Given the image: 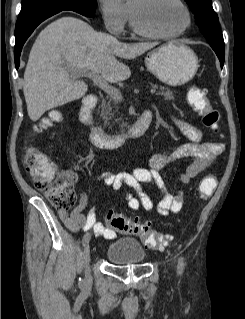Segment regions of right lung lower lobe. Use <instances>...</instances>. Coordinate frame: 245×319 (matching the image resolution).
Wrapping results in <instances>:
<instances>
[{
    "label": "right lung lower lobe",
    "mask_w": 245,
    "mask_h": 319,
    "mask_svg": "<svg viewBox=\"0 0 245 319\" xmlns=\"http://www.w3.org/2000/svg\"><path fill=\"white\" fill-rule=\"evenodd\" d=\"M63 10H69V9L46 11V12L33 15L23 20H17L16 27H15L16 41H15V47H14V57H15L16 68L19 67L20 53H21L22 47L24 43L26 42L27 38L34 31V29L45 19Z\"/></svg>",
    "instance_id": "right-lung-lower-lobe-1"
}]
</instances>
